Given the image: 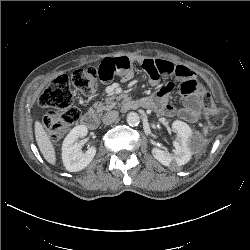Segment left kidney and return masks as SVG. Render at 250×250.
<instances>
[{
	"mask_svg": "<svg viewBox=\"0 0 250 250\" xmlns=\"http://www.w3.org/2000/svg\"><path fill=\"white\" fill-rule=\"evenodd\" d=\"M172 129L176 133L173 143V153L154 147L152 154L156 160L165 166H182L188 163L192 156L193 133L188 124L183 121L175 120Z\"/></svg>",
	"mask_w": 250,
	"mask_h": 250,
	"instance_id": "left-kidney-1",
	"label": "left kidney"
}]
</instances>
